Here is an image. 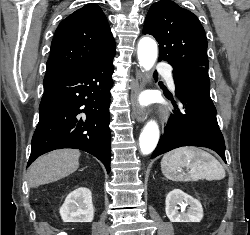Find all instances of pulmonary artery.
<instances>
[{"mask_svg":"<svg viewBox=\"0 0 250 235\" xmlns=\"http://www.w3.org/2000/svg\"><path fill=\"white\" fill-rule=\"evenodd\" d=\"M158 71L162 72L165 75L166 80H167L170 88L174 89L175 85H174V81H173V78H172L171 71L166 67H159Z\"/></svg>","mask_w":250,"mask_h":235,"instance_id":"pulmonary-artery-1","label":"pulmonary artery"}]
</instances>
